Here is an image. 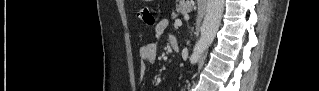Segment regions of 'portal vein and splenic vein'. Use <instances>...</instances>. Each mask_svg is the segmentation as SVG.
<instances>
[{
	"mask_svg": "<svg viewBox=\"0 0 319 91\" xmlns=\"http://www.w3.org/2000/svg\"><path fill=\"white\" fill-rule=\"evenodd\" d=\"M175 24H176L177 26H181V25H182V22H181L179 19H177V20H175Z\"/></svg>",
	"mask_w": 319,
	"mask_h": 91,
	"instance_id": "18ae733b",
	"label": "portal vein and splenic vein"
}]
</instances>
